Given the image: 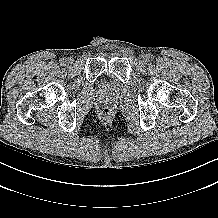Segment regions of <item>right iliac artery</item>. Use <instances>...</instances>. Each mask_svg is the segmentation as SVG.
Returning a JSON list of instances; mask_svg holds the SVG:
<instances>
[{"label": "right iliac artery", "mask_w": 218, "mask_h": 218, "mask_svg": "<svg viewBox=\"0 0 218 218\" xmlns=\"http://www.w3.org/2000/svg\"><path fill=\"white\" fill-rule=\"evenodd\" d=\"M65 60H66V59H64V58L61 59V61H60L61 65H65Z\"/></svg>", "instance_id": "right-iliac-artery-1"}]
</instances>
